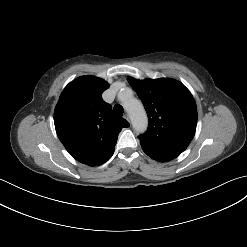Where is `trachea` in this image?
<instances>
[{"instance_id":"3493384b","label":"trachea","mask_w":247,"mask_h":247,"mask_svg":"<svg viewBox=\"0 0 247 247\" xmlns=\"http://www.w3.org/2000/svg\"><path fill=\"white\" fill-rule=\"evenodd\" d=\"M113 110H114V113H115L118 117H121V116L123 115V112H124V111H123L122 106L116 104V105L114 106Z\"/></svg>"}]
</instances>
